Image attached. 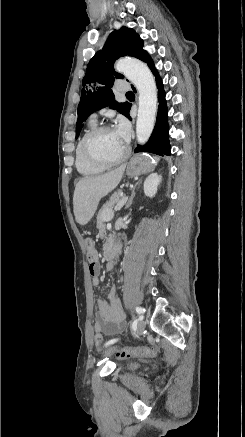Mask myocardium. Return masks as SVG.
<instances>
[{"label": "myocardium", "mask_w": 245, "mask_h": 437, "mask_svg": "<svg viewBox=\"0 0 245 437\" xmlns=\"http://www.w3.org/2000/svg\"><path fill=\"white\" fill-rule=\"evenodd\" d=\"M110 125H98L90 130L85 136L82 144L83 153L88 161L101 167H111L118 165L125 161L130 154V147L127 145L126 150L122 156L114 160L104 159L98 156L93 148L95 140L104 132L112 130Z\"/></svg>", "instance_id": "myocardium-1"}]
</instances>
